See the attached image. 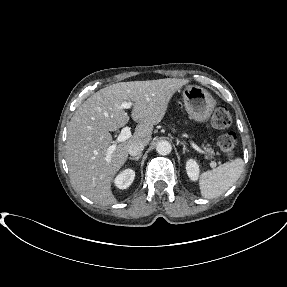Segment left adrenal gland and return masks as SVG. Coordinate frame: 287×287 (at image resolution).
<instances>
[{"label":"left adrenal gland","mask_w":287,"mask_h":287,"mask_svg":"<svg viewBox=\"0 0 287 287\" xmlns=\"http://www.w3.org/2000/svg\"><path fill=\"white\" fill-rule=\"evenodd\" d=\"M181 144L183 145V154H185V153L188 152L189 150L187 149L185 143L181 142Z\"/></svg>","instance_id":"left-adrenal-gland-1"}]
</instances>
